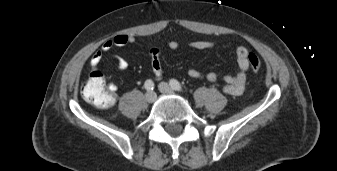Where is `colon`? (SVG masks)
<instances>
[{"mask_svg": "<svg viewBox=\"0 0 337 171\" xmlns=\"http://www.w3.org/2000/svg\"><path fill=\"white\" fill-rule=\"evenodd\" d=\"M250 69L257 72L261 68V61L255 53L248 54ZM82 97L97 108H108L113 105L115 97L111 93L100 71L92 73L91 78L81 91Z\"/></svg>", "mask_w": 337, "mask_h": 171, "instance_id": "colon-1", "label": "colon"}]
</instances>
